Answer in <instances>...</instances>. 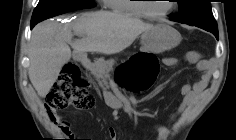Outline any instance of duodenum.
<instances>
[{
	"mask_svg": "<svg viewBox=\"0 0 236 140\" xmlns=\"http://www.w3.org/2000/svg\"><path fill=\"white\" fill-rule=\"evenodd\" d=\"M77 56H78V59L86 66V68H87V69H90L91 65H90V63H88L87 61H85V60L83 59L82 53H78Z\"/></svg>",
	"mask_w": 236,
	"mask_h": 140,
	"instance_id": "1",
	"label": "duodenum"
}]
</instances>
